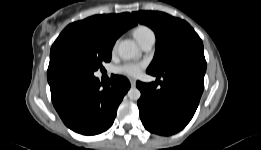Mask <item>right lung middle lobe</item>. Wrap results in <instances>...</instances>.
<instances>
[{
  "label": "right lung middle lobe",
  "mask_w": 261,
  "mask_h": 150,
  "mask_svg": "<svg viewBox=\"0 0 261 150\" xmlns=\"http://www.w3.org/2000/svg\"><path fill=\"white\" fill-rule=\"evenodd\" d=\"M114 43L89 30L60 34L51 47L48 82L78 76H92L111 60Z\"/></svg>",
  "instance_id": "right-lung-middle-lobe-1"
}]
</instances>
